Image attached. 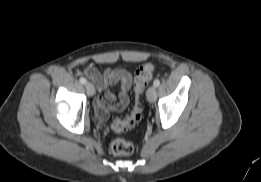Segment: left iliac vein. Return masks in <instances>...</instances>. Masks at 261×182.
I'll return each mask as SVG.
<instances>
[{
	"label": "left iliac vein",
	"mask_w": 261,
	"mask_h": 182,
	"mask_svg": "<svg viewBox=\"0 0 261 182\" xmlns=\"http://www.w3.org/2000/svg\"><path fill=\"white\" fill-rule=\"evenodd\" d=\"M146 95H147V99H148L149 102H154L156 100V97H157L156 87L155 86L149 87Z\"/></svg>",
	"instance_id": "1"
}]
</instances>
